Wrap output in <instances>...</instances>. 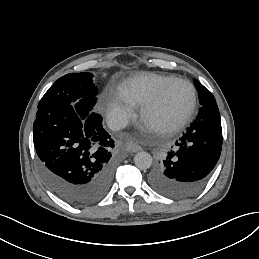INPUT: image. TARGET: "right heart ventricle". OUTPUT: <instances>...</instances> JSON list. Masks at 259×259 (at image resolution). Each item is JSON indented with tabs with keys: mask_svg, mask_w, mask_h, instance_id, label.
I'll return each mask as SVG.
<instances>
[{
	"mask_svg": "<svg viewBox=\"0 0 259 259\" xmlns=\"http://www.w3.org/2000/svg\"><path fill=\"white\" fill-rule=\"evenodd\" d=\"M172 77V74L146 73L129 80L122 90L139 106H143L157 93L160 86Z\"/></svg>",
	"mask_w": 259,
	"mask_h": 259,
	"instance_id": "obj_1",
	"label": "right heart ventricle"
}]
</instances>
